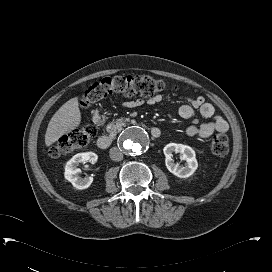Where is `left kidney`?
Segmentation results:
<instances>
[{
    "mask_svg": "<svg viewBox=\"0 0 272 272\" xmlns=\"http://www.w3.org/2000/svg\"><path fill=\"white\" fill-rule=\"evenodd\" d=\"M165 155V164L167 169L179 178L190 177L197 169L198 162L196 160L195 151L187 145L169 143L163 149ZM182 154V159L186 161L185 166L174 164L172 160V153Z\"/></svg>",
    "mask_w": 272,
    "mask_h": 272,
    "instance_id": "obj_1",
    "label": "left kidney"
}]
</instances>
